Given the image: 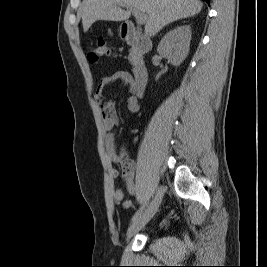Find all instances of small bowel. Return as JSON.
Masks as SVG:
<instances>
[{"mask_svg":"<svg viewBox=\"0 0 267 267\" xmlns=\"http://www.w3.org/2000/svg\"><path fill=\"white\" fill-rule=\"evenodd\" d=\"M116 81L123 82L128 87L130 94L126 100V107L129 112L136 113L139 110L138 98L133 92L134 80L127 71H117L104 77L95 92V98L100 103L103 129L105 131L104 148L107 157L110 162L121 164L126 188L130 194L134 195L138 190L134 180L135 163L130 159L122 158L116 150V138L112 130L118 125L119 118L115 110V103L112 100H104L103 98L104 89ZM109 175L112 179H116L119 176V171L115 168H110ZM112 197L115 203L122 204L125 209L132 206L131 200H124V193L121 189L113 190Z\"/></svg>","mask_w":267,"mask_h":267,"instance_id":"obj_1","label":"small bowel"}]
</instances>
